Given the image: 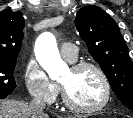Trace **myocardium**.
I'll use <instances>...</instances> for the list:
<instances>
[{"mask_svg":"<svg viewBox=\"0 0 133 118\" xmlns=\"http://www.w3.org/2000/svg\"><path fill=\"white\" fill-rule=\"evenodd\" d=\"M86 68L93 69L101 79L104 88V97L101 102L91 107L79 106L70 99L64 85L60 83V86H61L63 103L69 110L77 113L91 114L104 109L108 105V103L111 100L112 91H111V84L106 73L98 64L89 61H79L71 65V69L74 71H80Z\"/></svg>","mask_w":133,"mask_h":118,"instance_id":"f54148a6","label":"myocardium"}]
</instances>
